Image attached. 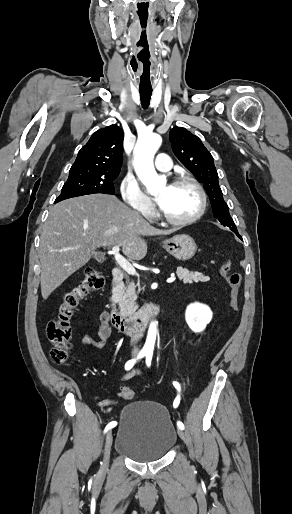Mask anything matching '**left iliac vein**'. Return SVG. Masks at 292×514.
I'll use <instances>...</instances> for the list:
<instances>
[{"mask_svg": "<svg viewBox=\"0 0 292 514\" xmlns=\"http://www.w3.org/2000/svg\"><path fill=\"white\" fill-rule=\"evenodd\" d=\"M177 432H178L179 437H180L182 440H184V441H185V440H186L185 432H184L182 429H178V430H177Z\"/></svg>", "mask_w": 292, "mask_h": 514, "instance_id": "1", "label": "left iliac vein"}]
</instances>
